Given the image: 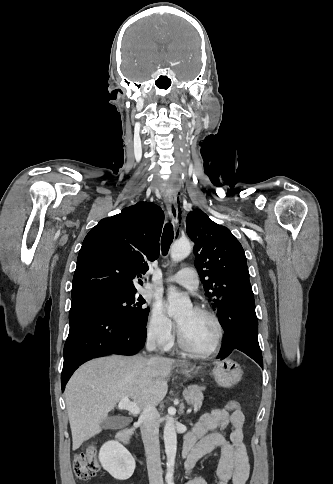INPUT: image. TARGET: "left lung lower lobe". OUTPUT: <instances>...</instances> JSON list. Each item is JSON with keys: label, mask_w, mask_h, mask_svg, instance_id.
Segmentation results:
<instances>
[{"label": "left lung lower lobe", "mask_w": 333, "mask_h": 484, "mask_svg": "<svg viewBox=\"0 0 333 484\" xmlns=\"http://www.w3.org/2000/svg\"><path fill=\"white\" fill-rule=\"evenodd\" d=\"M225 295L218 307V317L224 329L223 342L217 359H225L237 349L254 359L263 367L262 353L258 343V320L250 283H245ZM237 298L236 303L230 297Z\"/></svg>", "instance_id": "0a47b994"}]
</instances>
